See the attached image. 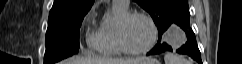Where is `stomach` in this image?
<instances>
[{
    "label": "stomach",
    "mask_w": 242,
    "mask_h": 64,
    "mask_svg": "<svg viewBox=\"0 0 242 64\" xmlns=\"http://www.w3.org/2000/svg\"><path fill=\"white\" fill-rule=\"evenodd\" d=\"M149 61L142 63V64H160L157 60L152 59V58H148Z\"/></svg>",
    "instance_id": "1"
}]
</instances>
